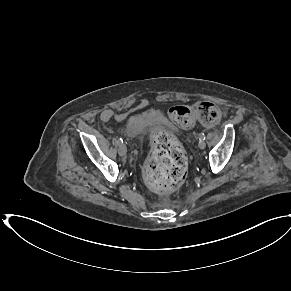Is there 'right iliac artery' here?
<instances>
[{"instance_id": "obj_1", "label": "right iliac artery", "mask_w": 291, "mask_h": 291, "mask_svg": "<svg viewBox=\"0 0 291 291\" xmlns=\"http://www.w3.org/2000/svg\"><path fill=\"white\" fill-rule=\"evenodd\" d=\"M117 143H118V144H121V143H123V140H122V138H119V139L117 140Z\"/></svg>"}]
</instances>
